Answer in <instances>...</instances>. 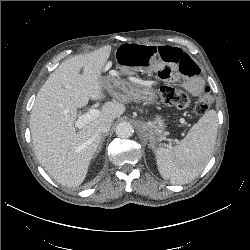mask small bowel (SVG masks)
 Instances as JSON below:
<instances>
[{
	"label": "small bowel",
	"mask_w": 250,
	"mask_h": 250,
	"mask_svg": "<svg viewBox=\"0 0 250 250\" xmlns=\"http://www.w3.org/2000/svg\"><path fill=\"white\" fill-rule=\"evenodd\" d=\"M115 67L130 76L155 77L164 82L183 79V87L194 95L203 88L198 65L178 48L123 44L115 51Z\"/></svg>",
	"instance_id": "1"
}]
</instances>
